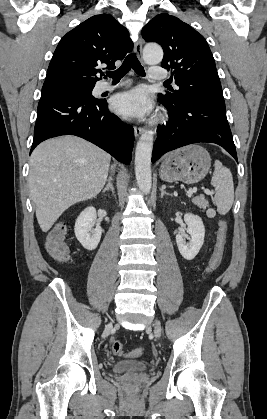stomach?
Listing matches in <instances>:
<instances>
[{
    "label": "stomach",
    "instance_id": "0dacf381",
    "mask_svg": "<svg viewBox=\"0 0 267 419\" xmlns=\"http://www.w3.org/2000/svg\"><path fill=\"white\" fill-rule=\"evenodd\" d=\"M211 166L208 151L197 144L188 145L169 153L163 159L159 174L163 181H181L194 184L202 180Z\"/></svg>",
    "mask_w": 267,
    "mask_h": 419
}]
</instances>
